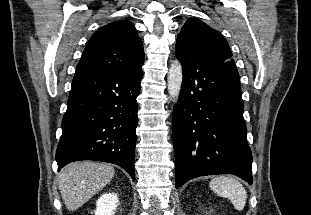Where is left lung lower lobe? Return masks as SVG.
<instances>
[{
  "mask_svg": "<svg viewBox=\"0 0 311 215\" xmlns=\"http://www.w3.org/2000/svg\"><path fill=\"white\" fill-rule=\"evenodd\" d=\"M175 53L183 67L172 123L176 188L215 174H234L252 184L239 78L181 41Z\"/></svg>",
  "mask_w": 311,
  "mask_h": 215,
  "instance_id": "0a47b994",
  "label": "left lung lower lobe"
}]
</instances>
